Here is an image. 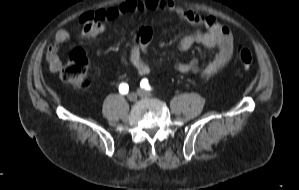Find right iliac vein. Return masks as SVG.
Segmentation results:
<instances>
[{
  "mask_svg": "<svg viewBox=\"0 0 299 190\" xmlns=\"http://www.w3.org/2000/svg\"><path fill=\"white\" fill-rule=\"evenodd\" d=\"M128 100L131 102H135L137 100V94L132 92L128 95Z\"/></svg>",
  "mask_w": 299,
  "mask_h": 190,
  "instance_id": "right-iliac-vein-1",
  "label": "right iliac vein"
}]
</instances>
